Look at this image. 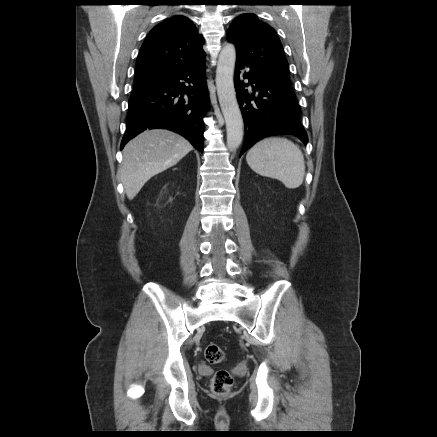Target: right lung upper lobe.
I'll return each instance as SVG.
<instances>
[{"instance_id":"obj_1","label":"right lung upper lobe","mask_w":437,"mask_h":437,"mask_svg":"<svg viewBox=\"0 0 437 437\" xmlns=\"http://www.w3.org/2000/svg\"><path fill=\"white\" fill-rule=\"evenodd\" d=\"M203 39L187 17L173 16L146 37L136 61V82H155L205 58Z\"/></svg>"}]
</instances>
